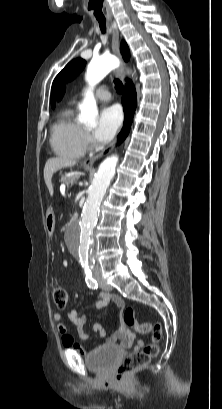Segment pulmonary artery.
Here are the masks:
<instances>
[{
	"mask_svg": "<svg viewBox=\"0 0 222 409\" xmlns=\"http://www.w3.org/2000/svg\"><path fill=\"white\" fill-rule=\"evenodd\" d=\"M95 96L98 100L108 101L111 97V94L105 86H101L96 90Z\"/></svg>",
	"mask_w": 222,
	"mask_h": 409,
	"instance_id": "pulmonary-artery-1",
	"label": "pulmonary artery"
}]
</instances>
